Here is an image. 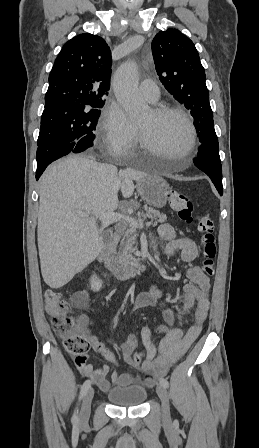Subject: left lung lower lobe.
<instances>
[{
  "mask_svg": "<svg viewBox=\"0 0 259 448\" xmlns=\"http://www.w3.org/2000/svg\"><path fill=\"white\" fill-rule=\"evenodd\" d=\"M194 163L210 177L217 191L222 195V166L220 163L218 139L201 143Z\"/></svg>",
  "mask_w": 259,
  "mask_h": 448,
  "instance_id": "1",
  "label": "left lung lower lobe"
}]
</instances>
